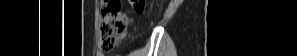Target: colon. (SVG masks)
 Masks as SVG:
<instances>
[{
	"instance_id": "5ec220e1",
	"label": "colon",
	"mask_w": 297,
	"mask_h": 56,
	"mask_svg": "<svg viewBox=\"0 0 297 56\" xmlns=\"http://www.w3.org/2000/svg\"><path fill=\"white\" fill-rule=\"evenodd\" d=\"M134 9L142 12L144 0H132ZM130 22L129 13L116 0L104 1L99 19L98 48L102 54L111 52L117 41L124 35Z\"/></svg>"
}]
</instances>
